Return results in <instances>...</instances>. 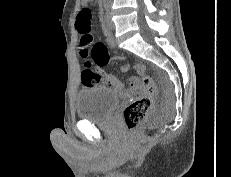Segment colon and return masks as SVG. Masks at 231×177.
<instances>
[{
	"mask_svg": "<svg viewBox=\"0 0 231 177\" xmlns=\"http://www.w3.org/2000/svg\"><path fill=\"white\" fill-rule=\"evenodd\" d=\"M76 26L81 35L80 56L86 59V70L83 78L86 84L94 85L100 82L99 74L91 70L93 64L105 65L110 61L106 47L101 43H94L91 25V10L83 7L76 19ZM115 59H119L115 57ZM141 94L131 100L123 110V119L128 129L134 130L147 118L149 110L157 94L154 80L150 76H143L140 80Z\"/></svg>",
	"mask_w": 231,
	"mask_h": 177,
	"instance_id": "1",
	"label": "colon"
}]
</instances>
